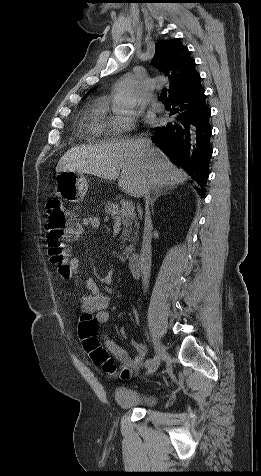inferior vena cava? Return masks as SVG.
Masks as SVG:
<instances>
[{
	"mask_svg": "<svg viewBox=\"0 0 261 476\" xmlns=\"http://www.w3.org/2000/svg\"><path fill=\"white\" fill-rule=\"evenodd\" d=\"M140 148L148 150L150 148V142L147 139H143L139 142ZM151 190H154L149 179L145 180L143 186V195L148 197L151 193ZM145 224L143 232V241L142 248L139 258V265L142 273V283L144 289L148 288L150 270H151V239H152V221L149 211V203L145 205Z\"/></svg>",
	"mask_w": 261,
	"mask_h": 476,
	"instance_id": "inferior-vena-cava-1",
	"label": "inferior vena cava"
}]
</instances>
